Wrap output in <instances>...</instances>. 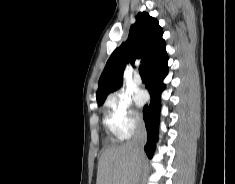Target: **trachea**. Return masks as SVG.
Returning <instances> with one entry per match:
<instances>
[{"label":"trachea","instance_id":"trachea-1","mask_svg":"<svg viewBox=\"0 0 235 184\" xmlns=\"http://www.w3.org/2000/svg\"><path fill=\"white\" fill-rule=\"evenodd\" d=\"M139 73L141 75V77H146V72H145V66L144 64H141L139 67Z\"/></svg>","mask_w":235,"mask_h":184}]
</instances>
